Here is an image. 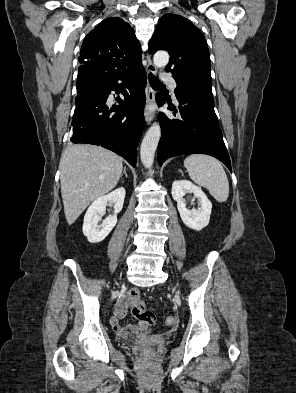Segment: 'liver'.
<instances>
[{
  "instance_id": "1",
  "label": "liver",
  "mask_w": 296,
  "mask_h": 393,
  "mask_svg": "<svg viewBox=\"0 0 296 393\" xmlns=\"http://www.w3.org/2000/svg\"><path fill=\"white\" fill-rule=\"evenodd\" d=\"M64 213L72 225L95 199L111 191L122 175L118 155L95 145H71L59 164Z\"/></svg>"
}]
</instances>
